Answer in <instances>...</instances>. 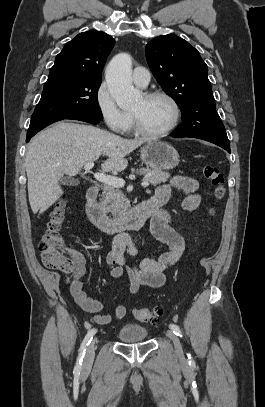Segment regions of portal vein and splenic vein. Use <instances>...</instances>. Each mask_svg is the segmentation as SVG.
I'll return each instance as SVG.
<instances>
[{"mask_svg":"<svg viewBox=\"0 0 265 407\" xmlns=\"http://www.w3.org/2000/svg\"><path fill=\"white\" fill-rule=\"evenodd\" d=\"M94 167V162H89L84 166V170L86 172L90 171ZM94 178L98 180L99 182L112 186V187H123L125 184V181L121 178L107 175L104 173H95ZM143 187H148L149 186V181L148 180H143L141 183Z\"/></svg>","mask_w":265,"mask_h":407,"instance_id":"obj_1","label":"portal vein and splenic vein"}]
</instances>
